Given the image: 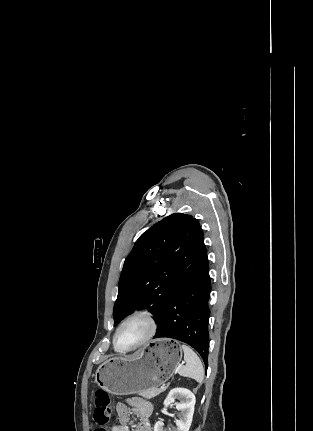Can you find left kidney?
I'll return each mask as SVG.
<instances>
[{
	"label": "left kidney",
	"mask_w": 313,
	"mask_h": 431,
	"mask_svg": "<svg viewBox=\"0 0 313 431\" xmlns=\"http://www.w3.org/2000/svg\"><path fill=\"white\" fill-rule=\"evenodd\" d=\"M175 399L180 400L179 403H176V408L180 411L179 419L175 420L176 431H189L196 402L195 395L188 389L174 388L164 400V406L167 407L169 404L174 403ZM154 431H164L162 421L156 422Z\"/></svg>",
	"instance_id": "5707ae66"
}]
</instances>
